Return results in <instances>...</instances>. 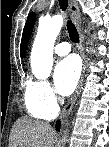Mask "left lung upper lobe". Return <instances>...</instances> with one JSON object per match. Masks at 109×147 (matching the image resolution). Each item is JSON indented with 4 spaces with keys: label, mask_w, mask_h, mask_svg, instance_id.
Returning <instances> with one entry per match:
<instances>
[{
    "label": "left lung upper lobe",
    "mask_w": 109,
    "mask_h": 147,
    "mask_svg": "<svg viewBox=\"0 0 109 147\" xmlns=\"http://www.w3.org/2000/svg\"><path fill=\"white\" fill-rule=\"evenodd\" d=\"M34 22H35V13L31 12L27 18L25 27H24V31H23V35H22V40H21V56H23L25 50H26V46L28 44L29 41V37L31 35L33 26H34Z\"/></svg>",
    "instance_id": "1"
}]
</instances>
